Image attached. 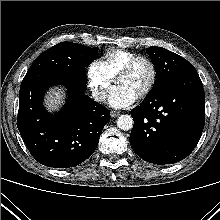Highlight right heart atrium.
Returning a JSON list of instances; mask_svg holds the SVG:
<instances>
[{
    "label": "right heart atrium",
    "mask_w": 220,
    "mask_h": 220,
    "mask_svg": "<svg viewBox=\"0 0 220 220\" xmlns=\"http://www.w3.org/2000/svg\"><path fill=\"white\" fill-rule=\"evenodd\" d=\"M86 76L92 96L97 101L104 100L113 77L100 59L93 60L87 67Z\"/></svg>",
    "instance_id": "right-heart-atrium-1"
}]
</instances>
